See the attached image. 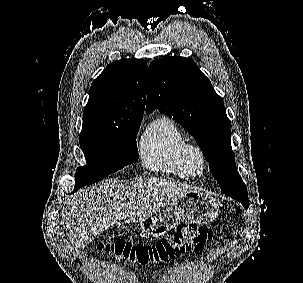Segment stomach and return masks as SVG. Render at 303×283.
Returning a JSON list of instances; mask_svg holds the SVG:
<instances>
[{
  "mask_svg": "<svg viewBox=\"0 0 303 283\" xmlns=\"http://www.w3.org/2000/svg\"><path fill=\"white\" fill-rule=\"evenodd\" d=\"M217 200L205 193L191 191L178 196L151 216L140 222L142 234L158 238L172 230L178 222L207 224L218 215Z\"/></svg>",
  "mask_w": 303,
  "mask_h": 283,
  "instance_id": "0dacf381",
  "label": "stomach"
}]
</instances>
